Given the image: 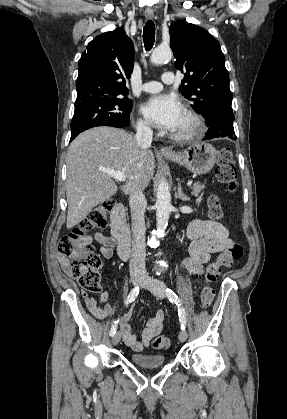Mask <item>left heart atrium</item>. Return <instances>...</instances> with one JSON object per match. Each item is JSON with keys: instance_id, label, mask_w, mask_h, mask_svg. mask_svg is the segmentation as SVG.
<instances>
[{"instance_id": "left-heart-atrium-1", "label": "left heart atrium", "mask_w": 287, "mask_h": 419, "mask_svg": "<svg viewBox=\"0 0 287 419\" xmlns=\"http://www.w3.org/2000/svg\"><path fill=\"white\" fill-rule=\"evenodd\" d=\"M143 115L156 127L173 131L183 116V107L174 95L157 94L141 107Z\"/></svg>"}]
</instances>
